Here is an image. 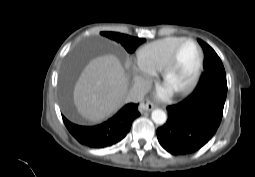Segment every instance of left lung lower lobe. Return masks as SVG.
Listing matches in <instances>:
<instances>
[{"label":"left lung lower lobe","instance_id":"obj_1","mask_svg":"<svg viewBox=\"0 0 255 177\" xmlns=\"http://www.w3.org/2000/svg\"><path fill=\"white\" fill-rule=\"evenodd\" d=\"M226 96L227 91L214 87L195 89L180 103L168 106V120L157 129L161 146L173 155L202 148L220 125Z\"/></svg>","mask_w":255,"mask_h":177}]
</instances>
